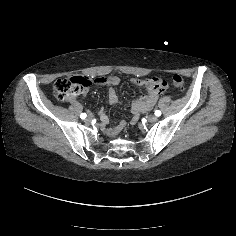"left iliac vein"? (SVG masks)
I'll return each mask as SVG.
<instances>
[{
    "mask_svg": "<svg viewBox=\"0 0 236 236\" xmlns=\"http://www.w3.org/2000/svg\"><path fill=\"white\" fill-rule=\"evenodd\" d=\"M148 122L155 123L158 120V117L156 115H150L147 117Z\"/></svg>",
    "mask_w": 236,
    "mask_h": 236,
    "instance_id": "obj_1",
    "label": "left iliac vein"
}]
</instances>
